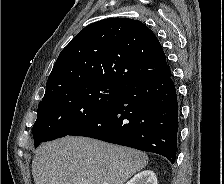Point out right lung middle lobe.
Returning a JSON list of instances; mask_svg holds the SVG:
<instances>
[{"label": "right lung middle lobe", "instance_id": "1", "mask_svg": "<svg viewBox=\"0 0 224 184\" xmlns=\"http://www.w3.org/2000/svg\"><path fill=\"white\" fill-rule=\"evenodd\" d=\"M125 87L111 82H85L42 100L33 125L35 147L69 135L89 122L104 111Z\"/></svg>", "mask_w": 224, "mask_h": 184}]
</instances>
